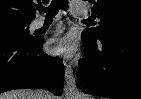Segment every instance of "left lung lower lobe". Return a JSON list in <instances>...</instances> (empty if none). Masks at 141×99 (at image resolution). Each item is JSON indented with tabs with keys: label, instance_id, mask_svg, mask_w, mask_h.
Returning <instances> with one entry per match:
<instances>
[{
	"label": "left lung lower lobe",
	"instance_id": "1",
	"mask_svg": "<svg viewBox=\"0 0 141 99\" xmlns=\"http://www.w3.org/2000/svg\"><path fill=\"white\" fill-rule=\"evenodd\" d=\"M81 37L85 46L77 71L81 91L111 99H141V37L105 36L96 43Z\"/></svg>",
	"mask_w": 141,
	"mask_h": 99
}]
</instances>
